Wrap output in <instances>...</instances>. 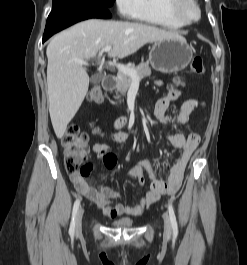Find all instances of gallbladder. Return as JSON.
I'll use <instances>...</instances> for the list:
<instances>
[{"mask_svg":"<svg viewBox=\"0 0 247 265\" xmlns=\"http://www.w3.org/2000/svg\"><path fill=\"white\" fill-rule=\"evenodd\" d=\"M101 80H102V75H100V74H95V75L91 76V79H90V81L93 84L99 83Z\"/></svg>","mask_w":247,"mask_h":265,"instance_id":"gallbladder-1","label":"gallbladder"}]
</instances>
